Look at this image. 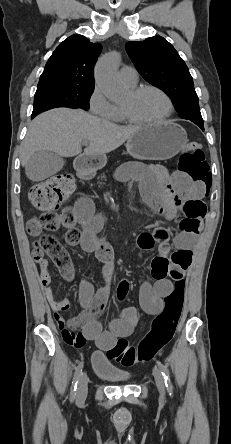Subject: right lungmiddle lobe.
Instances as JSON below:
<instances>
[{
  "mask_svg": "<svg viewBox=\"0 0 231 444\" xmlns=\"http://www.w3.org/2000/svg\"><path fill=\"white\" fill-rule=\"evenodd\" d=\"M94 87L45 86L37 87L34 96L32 118L37 114L56 107L88 109V99Z\"/></svg>",
  "mask_w": 231,
  "mask_h": 444,
  "instance_id": "right-lung-middle-lobe-1",
  "label": "right lung middle lobe"
}]
</instances>
